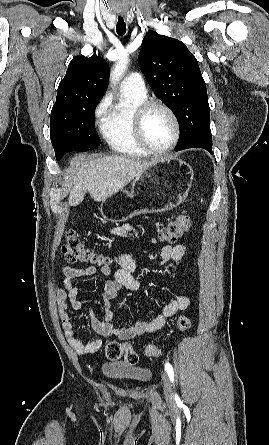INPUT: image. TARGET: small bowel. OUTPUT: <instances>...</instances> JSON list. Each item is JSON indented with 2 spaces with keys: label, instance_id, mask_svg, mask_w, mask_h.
Instances as JSON below:
<instances>
[{
  "label": "small bowel",
  "instance_id": "obj_1",
  "mask_svg": "<svg viewBox=\"0 0 269 445\" xmlns=\"http://www.w3.org/2000/svg\"><path fill=\"white\" fill-rule=\"evenodd\" d=\"M134 229L133 225L125 224L114 228L112 233L120 235ZM186 253V248L182 244L175 246H165L160 253V263H176L181 261ZM119 268L112 274L109 266L95 267L89 266L84 269L64 266L63 288L56 289L58 312L61 319L64 334L69 345L79 354H89L98 351L102 346V341L95 339L87 343L78 339L75 335L74 324L71 321L70 309L79 312L82 310V302L79 297V288L74 284V280L93 276L100 273L104 279L103 294V320H99L92 307L88 308L92 329L102 336H115L121 340H128L147 333L161 329L166 320L174 316L177 312L186 310L189 307L190 299L187 295H177L169 300L161 312L150 321H140L128 328H118L113 325L115 317L113 310V300H115L122 289L136 291L139 289V280L135 277L138 271L137 262L126 253L117 255Z\"/></svg>",
  "mask_w": 269,
  "mask_h": 445
}]
</instances>
